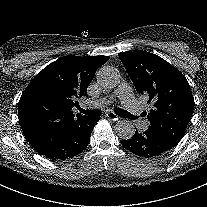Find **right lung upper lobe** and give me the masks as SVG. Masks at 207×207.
Masks as SVG:
<instances>
[{"instance_id":"1","label":"right lung upper lobe","mask_w":207,"mask_h":207,"mask_svg":"<svg viewBox=\"0 0 207 207\" xmlns=\"http://www.w3.org/2000/svg\"><path fill=\"white\" fill-rule=\"evenodd\" d=\"M108 56H66L40 71L24 90L18 107L19 123L35 149L49 145L82 115L73 114L77 98L87 96V87Z\"/></svg>"}]
</instances>
